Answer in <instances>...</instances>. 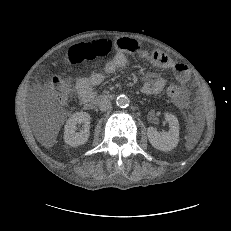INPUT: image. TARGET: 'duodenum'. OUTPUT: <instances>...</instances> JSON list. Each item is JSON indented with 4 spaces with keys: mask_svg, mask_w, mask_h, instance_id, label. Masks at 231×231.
I'll list each match as a JSON object with an SVG mask.
<instances>
[{
    "mask_svg": "<svg viewBox=\"0 0 231 231\" xmlns=\"http://www.w3.org/2000/svg\"><path fill=\"white\" fill-rule=\"evenodd\" d=\"M113 98V96L112 95H110V94H104V95H101V96H99L97 99H95V100H89V101H86V102H83L84 103V105H85V107L87 108V109H93L97 104H99V103H101V102H104V101H106V100H110V99H112Z\"/></svg>",
    "mask_w": 231,
    "mask_h": 231,
    "instance_id": "1",
    "label": "duodenum"
}]
</instances>
